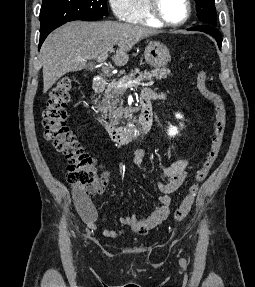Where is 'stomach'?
Masks as SVG:
<instances>
[{
	"label": "stomach",
	"mask_w": 255,
	"mask_h": 287,
	"mask_svg": "<svg viewBox=\"0 0 255 287\" xmlns=\"http://www.w3.org/2000/svg\"><path fill=\"white\" fill-rule=\"evenodd\" d=\"M144 58L152 68H164L171 60L170 52L162 42H149L145 48Z\"/></svg>",
	"instance_id": "stomach-1"
}]
</instances>
